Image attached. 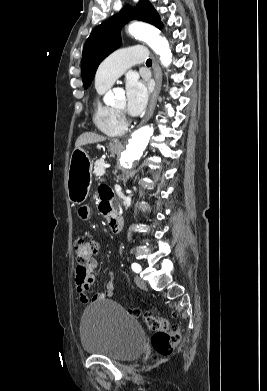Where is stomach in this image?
<instances>
[{
  "label": "stomach",
  "mask_w": 267,
  "mask_h": 391,
  "mask_svg": "<svg viewBox=\"0 0 267 391\" xmlns=\"http://www.w3.org/2000/svg\"><path fill=\"white\" fill-rule=\"evenodd\" d=\"M112 153L120 150L114 144L109 146ZM92 161L87 153L80 147L75 148L70 158V165L67 175L68 198L73 204H81L88 196L91 186Z\"/></svg>",
  "instance_id": "stomach-1"
}]
</instances>
